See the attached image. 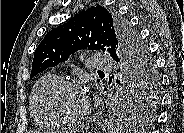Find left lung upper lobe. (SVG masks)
Here are the masks:
<instances>
[{"label":"left lung upper lobe","instance_id":"1","mask_svg":"<svg viewBox=\"0 0 184 133\" xmlns=\"http://www.w3.org/2000/svg\"><path fill=\"white\" fill-rule=\"evenodd\" d=\"M105 47L122 71L116 107L124 116L148 112L156 102L159 81L154 61L129 24L102 6L83 10L48 32L35 50L31 77L78 50Z\"/></svg>","mask_w":184,"mask_h":133}]
</instances>
